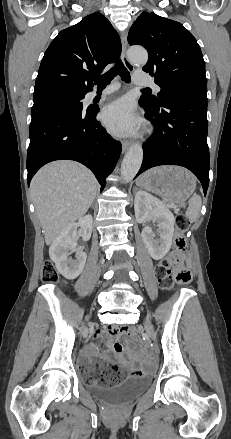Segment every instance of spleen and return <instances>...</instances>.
<instances>
[{"label": "spleen", "instance_id": "spleen-1", "mask_svg": "<svg viewBox=\"0 0 231 439\" xmlns=\"http://www.w3.org/2000/svg\"><path fill=\"white\" fill-rule=\"evenodd\" d=\"M188 203H189V206L186 210L185 215H186V218H188V220L190 222H194L198 218L199 213H200L201 203H202L201 197L197 194H194L190 198Z\"/></svg>", "mask_w": 231, "mask_h": 439}]
</instances>
